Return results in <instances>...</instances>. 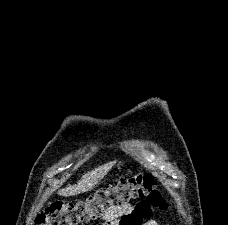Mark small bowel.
Returning a JSON list of instances; mask_svg holds the SVG:
<instances>
[{
	"instance_id": "1",
	"label": "small bowel",
	"mask_w": 228,
	"mask_h": 225,
	"mask_svg": "<svg viewBox=\"0 0 228 225\" xmlns=\"http://www.w3.org/2000/svg\"><path fill=\"white\" fill-rule=\"evenodd\" d=\"M150 208L151 205L147 204V199H139V204L135 206L129 203L119 209L105 212L101 216V225H142V223L144 225H159L156 219H149L145 222V218H151Z\"/></svg>"
}]
</instances>
